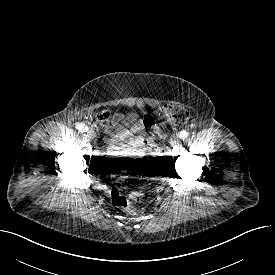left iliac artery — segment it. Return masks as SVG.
Listing matches in <instances>:
<instances>
[{
	"mask_svg": "<svg viewBox=\"0 0 275 275\" xmlns=\"http://www.w3.org/2000/svg\"><path fill=\"white\" fill-rule=\"evenodd\" d=\"M188 136H189V133H188L186 130H182V131H180V133H179V137H180L181 139H186Z\"/></svg>",
	"mask_w": 275,
	"mask_h": 275,
	"instance_id": "44dca946",
	"label": "left iliac artery"
}]
</instances>
